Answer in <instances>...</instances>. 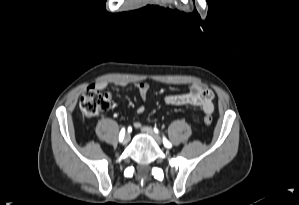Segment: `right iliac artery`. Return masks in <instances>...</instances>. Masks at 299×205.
<instances>
[{
	"mask_svg": "<svg viewBox=\"0 0 299 205\" xmlns=\"http://www.w3.org/2000/svg\"><path fill=\"white\" fill-rule=\"evenodd\" d=\"M124 136H125V129L123 128V129L120 131V134H119V141H120V142H122Z\"/></svg>",
	"mask_w": 299,
	"mask_h": 205,
	"instance_id": "82829eb1",
	"label": "right iliac artery"
}]
</instances>
